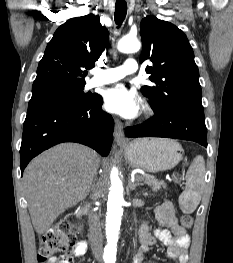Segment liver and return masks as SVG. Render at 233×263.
<instances>
[{
	"instance_id": "6515ba94",
	"label": "liver",
	"mask_w": 233,
	"mask_h": 263,
	"mask_svg": "<svg viewBox=\"0 0 233 263\" xmlns=\"http://www.w3.org/2000/svg\"><path fill=\"white\" fill-rule=\"evenodd\" d=\"M99 164L94 150L76 143L54 146L29 163L23 186L38 234L46 233L60 214L86 198Z\"/></svg>"
}]
</instances>
